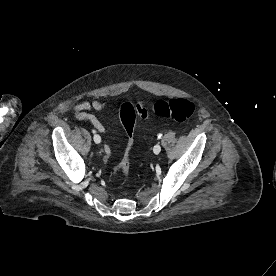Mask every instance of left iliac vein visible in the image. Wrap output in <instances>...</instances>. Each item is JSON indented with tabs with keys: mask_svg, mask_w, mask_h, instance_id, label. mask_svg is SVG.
Here are the masks:
<instances>
[{
	"mask_svg": "<svg viewBox=\"0 0 276 276\" xmlns=\"http://www.w3.org/2000/svg\"><path fill=\"white\" fill-rule=\"evenodd\" d=\"M153 151L155 154H159L161 151V146L159 144H156L153 148Z\"/></svg>",
	"mask_w": 276,
	"mask_h": 276,
	"instance_id": "1",
	"label": "left iliac vein"
}]
</instances>
